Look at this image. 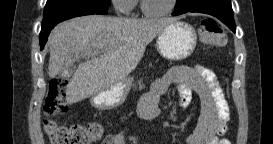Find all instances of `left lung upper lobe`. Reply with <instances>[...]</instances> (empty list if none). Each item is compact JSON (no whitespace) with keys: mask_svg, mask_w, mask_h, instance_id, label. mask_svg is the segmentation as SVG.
Returning a JSON list of instances; mask_svg holds the SVG:
<instances>
[{"mask_svg":"<svg viewBox=\"0 0 273 144\" xmlns=\"http://www.w3.org/2000/svg\"><path fill=\"white\" fill-rule=\"evenodd\" d=\"M188 0H178L175 8H180L186 4Z\"/></svg>","mask_w":273,"mask_h":144,"instance_id":"1","label":"left lung upper lobe"}]
</instances>
